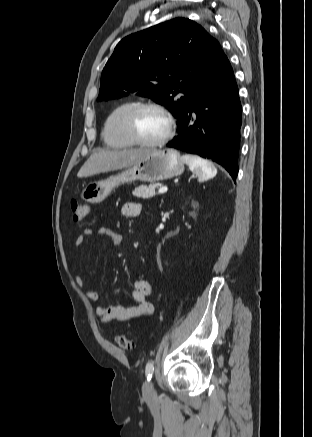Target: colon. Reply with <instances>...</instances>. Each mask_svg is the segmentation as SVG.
<instances>
[{
  "label": "colon",
  "mask_w": 312,
  "mask_h": 437,
  "mask_svg": "<svg viewBox=\"0 0 312 437\" xmlns=\"http://www.w3.org/2000/svg\"><path fill=\"white\" fill-rule=\"evenodd\" d=\"M70 206L74 222L80 223L86 219L90 210L88 204L79 202L77 200H72ZM116 341L118 346L123 350H130L133 347L131 340L125 335H117Z\"/></svg>",
  "instance_id": "colon-1"
}]
</instances>
